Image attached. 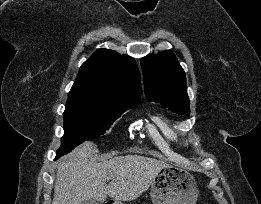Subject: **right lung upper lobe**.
<instances>
[{
	"instance_id": "cb5924a9",
	"label": "right lung upper lobe",
	"mask_w": 261,
	"mask_h": 204,
	"mask_svg": "<svg viewBox=\"0 0 261 204\" xmlns=\"http://www.w3.org/2000/svg\"><path fill=\"white\" fill-rule=\"evenodd\" d=\"M142 94L135 60L110 49H99L84 62L68 97H89L103 104L138 102Z\"/></svg>"
}]
</instances>
